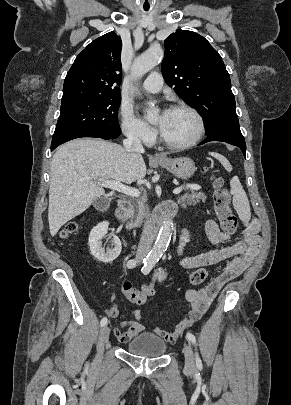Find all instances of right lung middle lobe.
Instances as JSON below:
<instances>
[{"label":"right lung middle lobe","mask_w":291,"mask_h":405,"mask_svg":"<svg viewBox=\"0 0 291 405\" xmlns=\"http://www.w3.org/2000/svg\"><path fill=\"white\" fill-rule=\"evenodd\" d=\"M120 100V96H108L61 102L51 145L84 135L121 134L118 122Z\"/></svg>","instance_id":"right-lung-middle-lobe-1"}]
</instances>
